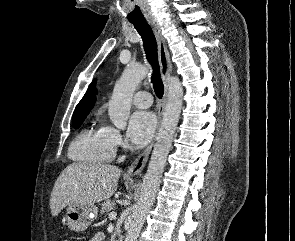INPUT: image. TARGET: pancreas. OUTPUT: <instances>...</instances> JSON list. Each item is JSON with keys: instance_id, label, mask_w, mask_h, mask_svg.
<instances>
[{"instance_id": "obj_1", "label": "pancreas", "mask_w": 295, "mask_h": 241, "mask_svg": "<svg viewBox=\"0 0 295 241\" xmlns=\"http://www.w3.org/2000/svg\"><path fill=\"white\" fill-rule=\"evenodd\" d=\"M115 206V202L111 200H107L102 204L100 214L109 213Z\"/></svg>"}]
</instances>
